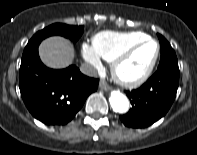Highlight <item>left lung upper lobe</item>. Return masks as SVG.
Returning a JSON list of instances; mask_svg holds the SVG:
<instances>
[{
  "label": "left lung upper lobe",
  "instance_id": "left-lung-upper-lobe-1",
  "mask_svg": "<svg viewBox=\"0 0 197 155\" xmlns=\"http://www.w3.org/2000/svg\"><path fill=\"white\" fill-rule=\"evenodd\" d=\"M157 35L160 41V48H161V59L158 69H162L166 67L179 69L177 57L173 48L162 35L160 34Z\"/></svg>",
  "mask_w": 197,
  "mask_h": 155
}]
</instances>
